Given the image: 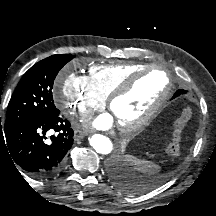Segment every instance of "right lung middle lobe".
Wrapping results in <instances>:
<instances>
[{
  "label": "right lung middle lobe",
  "mask_w": 216,
  "mask_h": 216,
  "mask_svg": "<svg viewBox=\"0 0 216 216\" xmlns=\"http://www.w3.org/2000/svg\"><path fill=\"white\" fill-rule=\"evenodd\" d=\"M73 58L69 54L53 55L33 65L21 78L10 99L5 125L58 115L60 111L52 96L54 79L60 69Z\"/></svg>",
  "instance_id": "right-lung-middle-lobe-1"
}]
</instances>
